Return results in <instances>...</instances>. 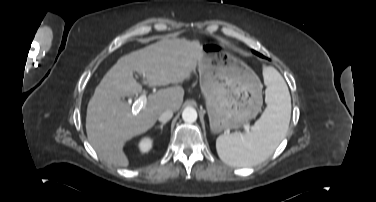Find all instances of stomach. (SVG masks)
Segmentation results:
<instances>
[{
	"label": "stomach",
	"instance_id": "1",
	"mask_svg": "<svg viewBox=\"0 0 376 202\" xmlns=\"http://www.w3.org/2000/svg\"><path fill=\"white\" fill-rule=\"evenodd\" d=\"M211 130L238 128L262 106V85L254 71L218 43L202 45L197 61Z\"/></svg>",
	"mask_w": 376,
	"mask_h": 202
}]
</instances>
